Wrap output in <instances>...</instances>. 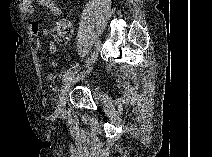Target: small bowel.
Listing matches in <instances>:
<instances>
[{
  "label": "small bowel",
  "instance_id": "c3829d8e",
  "mask_svg": "<svg viewBox=\"0 0 212 157\" xmlns=\"http://www.w3.org/2000/svg\"><path fill=\"white\" fill-rule=\"evenodd\" d=\"M37 3L46 8L53 16L58 17L62 14V9L54 0H37ZM22 7L25 14L29 17H32L35 12L34 1L32 0H24L22 2ZM30 32L31 35L35 38L36 46L40 47L39 35L41 34L44 37L50 36V29L40 28L39 23L36 20H31L30 22ZM57 51V46L54 42H50L48 44V52L54 54ZM50 68H55L57 66V61L55 59L50 61ZM54 78V74L52 71H49L46 74V80L50 81Z\"/></svg>",
  "mask_w": 212,
  "mask_h": 157
}]
</instances>
